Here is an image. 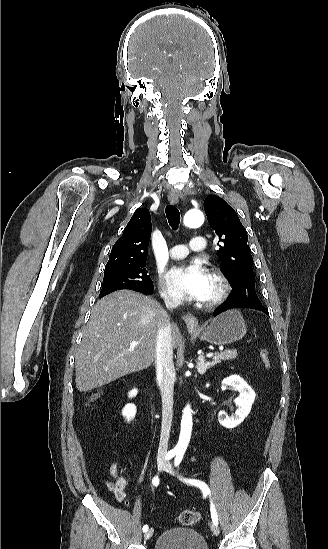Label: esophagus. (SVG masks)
<instances>
[{"label":"esophagus","mask_w":328,"mask_h":549,"mask_svg":"<svg viewBox=\"0 0 328 549\" xmlns=\"http://www.w3.org/2000/svg\"><path fill=\"white\" fill-rule=\"evenodd\" d=\"M168 201L171 205H176L179 201V197L176 191H171L168 194ZM183 320L186 323L188 330H196L198 327V319L190 314H183Z\"/></svg>","instance_id":"esophagus-1"}]
</instances>
